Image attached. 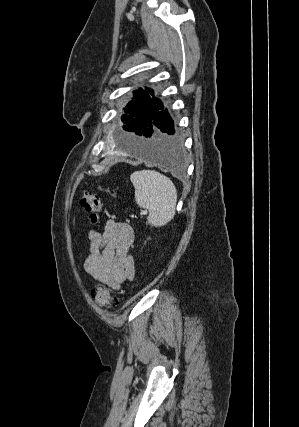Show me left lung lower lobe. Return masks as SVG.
Masks as SVG:
<instances>
[{
  "label": "left lung lower lobe",
  "instance_id": "1",
  "mask_svg": "<svg viewBox=\"0 0 299 427\" xmlns=\"http://www.w3.org/2000/svg\"><path fill=\"white\" fill-rule=\"evenodd\" d=\"M158 110L152 123H146L148 129L142 135L145 140L137 151L149 162L181 172L184 169L182 142L164 105L159 106Z\"/></svg>",
  "mask_w": 299,
  "mask_h": 427
}]
</instances>
